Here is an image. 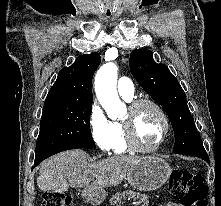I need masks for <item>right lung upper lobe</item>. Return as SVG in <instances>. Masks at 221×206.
Segmentation results:
<instances>
[{"mask_svg":"<svg viewBox=\"0 0 221 206\" xmlns=\"http://www.w3.org/2000/svg\"><path fill=\"white\" fill-rule=\"evenodd\" d=\"M100 61V55L93 52L79 56L71 66L60 70L46 97L44 109L91 106L92 78Z\"/></svg>","mask_w":221,"mask_h":206,"instance_id":"cb5924a9","label":"right lung upper lobe"}]
</instances>
